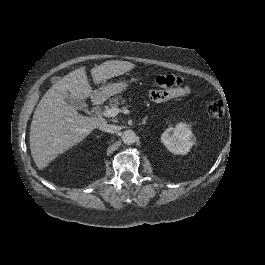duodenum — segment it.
I'll return each mask as SVG.
<instances>
[{"instance_id":"1","label":"duodenum","mask_w":265,"mask_h":265,"mask_svg":"<svg viewBox=\"0 0 265 265\" xmlns=\"http://www.w3.org/2000/svg\"><path fill=\"white\" fill-rule=\"evenodd\" d=\"M91 100L94 105H97L100 101V97L98 95H93Z\"/></svg>"}]
</instances>
